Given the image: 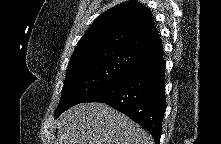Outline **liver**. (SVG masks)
<instances>
[{"label":"liver","instance_id":"1","mask_svg":"<svg viewBox=\"0 0 221 144\" xmlns=\"http://www.w3.org/2000/svg\"><path fill=\"white\" fill-rule=\"evenodd\" d=\"M56 122L57 144H154L146 130L103 103L76 105Z\"/></svg>","mask_w":221,"mask_h":144}]
</instances>
